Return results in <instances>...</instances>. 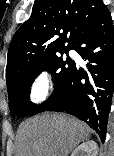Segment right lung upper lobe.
<instances>
[{"instance_id":"cb5924a9","label":"right lung upper lobe","mask_w":114,"mask_h":156,"mask_svg":"<svg viewBox=\"0 0 114 156\" xmlns=\"http://www.w3.org/2000/svg\"><path fill=\"white\" fill-rule=\"evenodd\" d=\"M105 9L102 0H35L30 18L16 31L8 50L7 88L21 73L72 49Z\"/></svg>"}]
</instances>
